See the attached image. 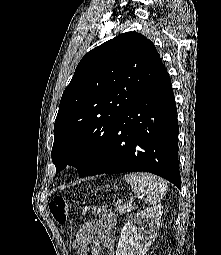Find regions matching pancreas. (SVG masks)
<instances>
[{
  "mask_svg": "<svg viewBox=\"0 0 221 255\" xmlns=\"http://www.w3.org/2000/svg\"><path fill=\"white\" fill-rule=\"evenodd\" d=\"M113 205L120 214H125L126 212H131L132 210L135 209L134 205L129 203H122L119 201L114 202Z\"/></svg>",
  "mask_w": 221,
  "mask_h": 255,
  "instance_id": "pancreas-1",
  "label": "pancreas"
}]
</instances>
